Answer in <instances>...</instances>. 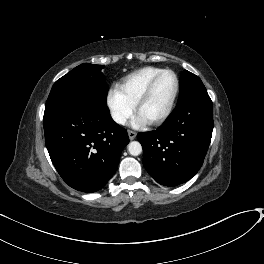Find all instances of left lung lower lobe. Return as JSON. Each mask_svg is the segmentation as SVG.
<instances>
[{
    "label": "left lung lower lobe",
    "mask_w": 264,
    "mask_h": 264,
    "mask_svg": "<svg viewBox=\"0 0 264 264\" xmlns=\"http://www.w3.org/2000/svg\"><path fill=\"white\" fill-rule=\"evenodd\" d=\"M213 131V105L208 93L179 101L157 130L138 133L143 165L161 185L177 186L201 168Z\"/></svg>",
    "instance_id": "obj_1"
}]
</instances>
